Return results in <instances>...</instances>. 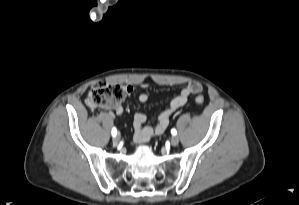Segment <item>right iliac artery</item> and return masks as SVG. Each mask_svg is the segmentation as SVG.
<instances>
[{"instance_id": "1", "label": "right iliac artery", "mask_w": 299, "mask_h": 205, "mask_svg": "<svg viewBox=\"0 0 299 205\" xmlns=\"http://www.w3.org/2000/svg\"><path fill=\"white\" fill-rule=\"evenodd\" d=\"M112 136L114 137V136H116V134H117V130H116V128L114 127L113 129H112Z\"/></svg>"}]
</instances>
